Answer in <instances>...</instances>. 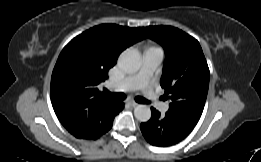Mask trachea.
<instances>
[{
	"label": "trachea",
	"mask_w": 261,
	"mask_h": 162,
	"mask_svg": "<svg viewBox=\"0 0 261 162\" xmlns=\"http://www.w3.org/2000/svg\"><path fill=\"white\" fill-rule=\"evenodd\" d=\"M104 93L107 96H110L115 101H123L126 98L124 93H111L107 89L104 90ZM135 101L138 103H149L148 100H146L145 98L139 97V96L135 98Z\"/></svg>",
	"instance_id": "trachea-1"
}]
</instances>
